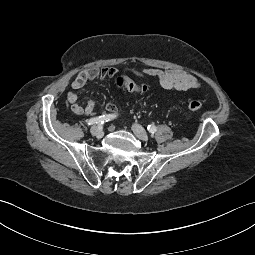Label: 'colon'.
<instances>
[{
  "instance_id": "obj_1",
  "label": "colon",
  "mask_w": 255,
  "mask_h": 255,
  "mask_svg": "<svg viewBox=\"0 0 255 255\" xmlns=\"http://www.w3.org/2000/svg\"><path fill=\"white\" fill-rule=\"evenodd\" d=\"M116 84L118 87H126L131 91L137 93H144L147 91V86L145 84H136L132 81H129L126 77H119L116 80ZM188 109L193 112H198L202 109L203 104L198 99H190L187 103Z\"/></svg>"
}]
</instances>
